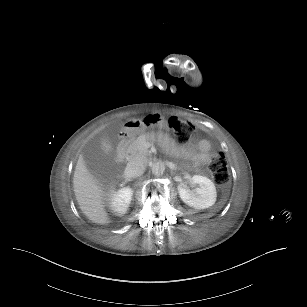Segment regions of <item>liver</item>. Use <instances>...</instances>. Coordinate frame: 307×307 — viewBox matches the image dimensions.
<instances>
[{
  "label": "liver",
  "instance_id": "liver-1",
  "mask_svg": "<svg viewBox=\"0 0 307 307\" xmlns=\"http://www.w3.org/2000/svg\"><path fill=\"white\" fill-rule=\"evenodd\" d=\"M73 188L83 214L97 225L109 226L111 219L106 209V187L89 171L82 155L75 168Z\"/></svg>",
  "mask_w": 307,
  "mask_h": 307
}]
</instances>
